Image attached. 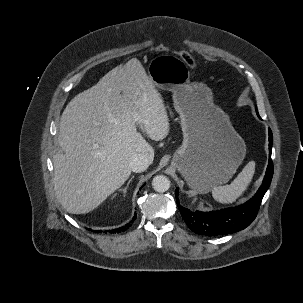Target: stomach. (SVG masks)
I'll use <instances>...</instances> for the list:
<instances>
[{
  "label": "stomach",
  "instance_id": "stomach-1",
  "mask_svg": "<svg viewBox=\"0 0 303 303\" xmlns=\"http://www.w3.org/2000/svg\"><path fill=\"white\" fill-rule=\"evenodd\" d=\"M148 76L154 86L173 93L180 115L183 143L172 166L199 193L227 183L245 158L246 145L228 115L214 105L211 89L190 82L187 65L172 55L152 59Z\"/></svg>",
  "mask_w": 303,
  "mask_h": 303
}]
</instances>
